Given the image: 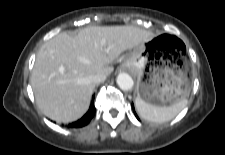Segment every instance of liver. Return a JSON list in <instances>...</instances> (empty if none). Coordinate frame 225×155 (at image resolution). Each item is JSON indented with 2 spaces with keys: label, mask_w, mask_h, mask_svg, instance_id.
I'll use <instances>...</instances> for the list:
<instances>
[{
  "label": "liver",
  "mask_w": 225,
  "mask_h": 155,
  "mask_svg": "<svg viewBox=\"0 0 225 155\" xmlns=\"http://www.w3.org/2000/svg\"><path fill=\"white\" fill-rule=\"evenodd\" d=\"M154 36L135 26H91L75 37L54 36L38 51L31 75L38 107L59 123L81 118L95 88L93 76L110 75L121 53L142 48Z\"/></svg>",
  "instance_id": "obj_1"
}]
</instances>
